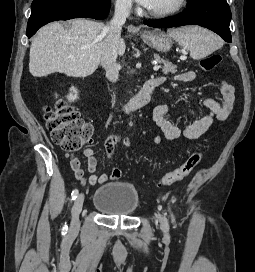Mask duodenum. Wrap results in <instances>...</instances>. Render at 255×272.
Returning <instances> with one entry per match:
<instances>
[{
  "label": "duodenum",
  "mask_w": 255,
  "mask_h": 272,
  "mask_svg": "<svg viewBox=\"0 0 255 272\" xmlns=\"http://www.w3.org/2000/svg\"><path fill=\"white\" fill-rule=\"evenodd\" d=\"M160 85V81L156 77L149 78L141 88V90L131 99L126 102L120 103L126 112H134L146 106L155 91Z\"/></svg>",
  "instance_id": "duodenum-1"
}]
</instances>
